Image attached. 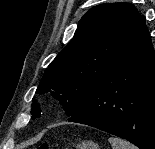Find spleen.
I'll return each mask as SVG.
<instances>
[{"mask_svg": "<svg viewBox=\"0 0 155 149\" xmlns=\"http://www.w3.org/2000/svg\"><path fill=\"white\" fill-rule=\"evenodd\" d=\"M108 141L112 149H138L135 145L117 137H110Z\"/></svg>", "mask_w": 155, "mask_h": 149, "instance_id": "spleen-1", "label": "spleen"}]
</instances>
